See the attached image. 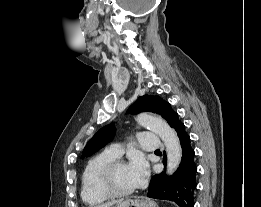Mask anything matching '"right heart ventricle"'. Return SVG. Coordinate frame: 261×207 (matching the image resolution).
<instances>
[{
    "label": "right heart ventricle",
    "instance_id": "1",
    "mask_svg": "<svg viewBox=\"0 0 261 207\" xmlns=\"http://www.w3.org/2000/svg\"><path fill=\"white\" fill-rule=\"evenodd\" d=\"M116 158L106 151L91 158L85 165L81 176V198L88 205H98L108 196L100 186V174L103 168Z\"/></svg>",
    "mask_w": 261,
    "mask_h": 207
}]
</instances>
